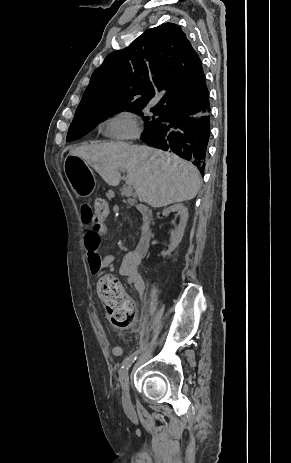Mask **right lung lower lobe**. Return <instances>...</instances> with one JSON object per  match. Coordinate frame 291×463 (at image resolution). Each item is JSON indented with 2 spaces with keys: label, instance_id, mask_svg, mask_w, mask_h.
<instances>
[{
  "label": "right lung lower lobe",
  "instance_id": "98d812e1",
  "mask_svg": "<svg viewBox=\"0 0 291 463\" xmlns=\"http://www.w3.org/2000/svg\"><path fill=\"white\" fill-rule=\"evenodd\" d=\"M202 86L207 89L205 78ZM209 93L191 108H172L163 112L161 123L146 131L141 139L149 146L173 152L191 161L204 173L211 134Z\"/></svg>",
  "mask_w": 291,
  "mask_h": 463
}]
</instances>
